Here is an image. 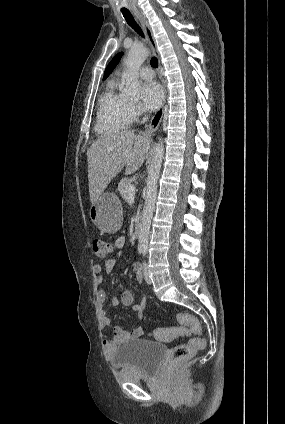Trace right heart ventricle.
<instances>
[{
  "instance_id": "1",
  "label": "right heart ventricle",
  "mask_w": 285,
  "mask_h": 424,
  "mask_svg": "<svg viewBox=\"0 0 285 424\" xmlns=\"http://www.w3.org/2000/svg\"><path fill=\"white\" fill-rule=\"evenodd\" d=\"M119 86V79L110 80L99 98L95 129L100 135L115 134L130 123V103L119 92Z\"/></svg>"
}]
</instances>
